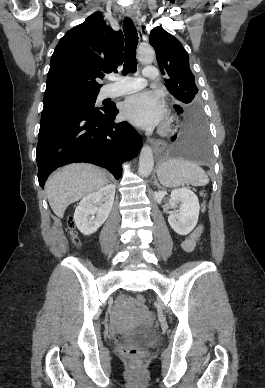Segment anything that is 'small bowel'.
<instances>
[{
    "instance_id": "small-bowel-1",
    "label": "small bowel",
    "mask_w": 265,
    "mask_h": 388,
    "mask_svg": "<svg viewBox=\"0 0 265 388\" xmlns=\"http://www.w3.org/2000/svg\"><path fill=\"white\" fill-rule=\"evenodd\" d=\"M202 229H203L202 225H198L196 229L190 234V236L184 240L182 244V248L185 251L190 252L194 249L195 244L202 233Z\"/></svg>"
}]
</instances>
